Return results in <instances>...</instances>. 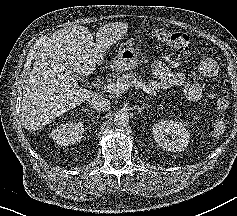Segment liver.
<instances>
[{"mask_svg":"<svg viewBox=\"0 0 237 216\" xmlns=\"http://www.w3.org/2000/svg\"><path fill=\"white\" fill-rule=\"evenodd\" d=\"M84 25L63 29L49 38L25 80L23 124L31 130L48 125L94 94L78 85L77 76L92 75L100 53Z\"/></svg>","mask_w":237,"mask_h":216,"instance_id":"obj_1","label":"liver"}]
</instances>
